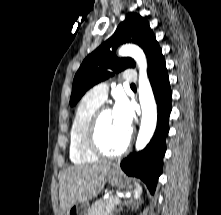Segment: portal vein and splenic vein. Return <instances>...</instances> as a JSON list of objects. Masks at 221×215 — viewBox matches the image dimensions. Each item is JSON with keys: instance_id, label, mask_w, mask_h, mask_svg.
Wrapping results in <instances>:
<instances>
[{"instance_id": "18ae733b", "label": "portal vein and splenic vein", "mask_w": 221, "mask_h": 215, "mask_svg": "<svg viewBox=\"0 0 221 215\" xmlns=\"http://www.w3.org/2000/svg\"><path fill=\"white\" fill-rule=\"evenodd\" d=\"M121 202V199L119 198V197H117L115 200H114V203L115 204H118V203H120Z\"/></svg>"}]
</instances>
